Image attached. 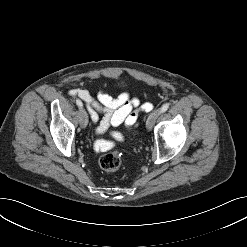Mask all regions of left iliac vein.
<instances>
[{"mask_svg": "<svg viewBox=\"0 0 247 247\" xmlns=\"http://www.w3.org/2000/svg\"><path fill=\"white\" fill-rule=\"evenodd\" d=\"M160 114H161V109H158V110L153 111L149 115V117H148V119L146 121V127H147L148 130L152 129L154 123L156 122V120H157V118L159 117Z\"/></svg>", "mask_w": 247, "mask_h": 247, "instance_id": "1", "label": "left iliac vein"}]
</instances>
